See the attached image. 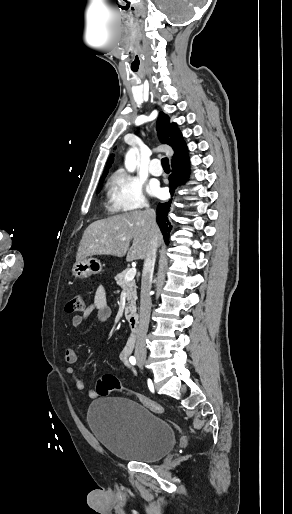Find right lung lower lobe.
Returning a JSON list of instances; mask_svg holds the SVG:
<instances>
[{
    "label": "right lung lower lobe",
    "mask_w": 292,
    "mask_h": 514,
    "mask_svg": "<svg viewBox=\"0 0 292 514\" xmlns=\"http://www.w3.org/2000/svg\"><path fill=\"white\" fill-rule=\"evenodd\" d=\"M190 173V161L188 154L184 157L172 162V174L169 177V186H170V193L173 194L175 189L183 184L188 177ZM172 204V200H169L165 203H159L157 206V223L162 231V234L164 236L165 243L168 244V238L170 231L172 229V226L170 225L168 221V212L170 211V207Z\"/></svg>",
    "instance_id": "obj_1"
}]
</instances>
